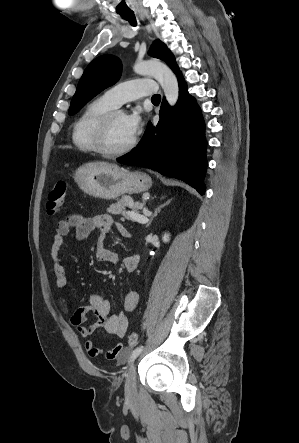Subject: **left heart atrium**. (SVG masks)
I'll use <instances>...</instances> for the list:
<instances>
[{
    "mask_svg": "<svg viewBox=\"0 0 299 443\" xmlns=\"http://www.w3.org/2000/svg\"><path fill=\"white\" fill-rule=\"evenodd\" d=\"M126 124L133 135H136L142 127V117L138 109L125 116Z\"/></svg>",
    "mask_w": 299,
    "mask_h": 443,
    "instance_id": "39dd6f15",
    "label": "left heart atrium"
}]
</instances>
